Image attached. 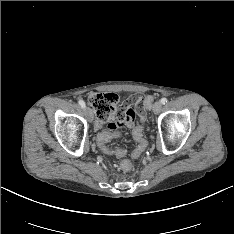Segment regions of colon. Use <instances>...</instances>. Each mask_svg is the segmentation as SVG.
Instances as JSON below:
<instances>
[{"instance_id":"obj_1","label":"colon","mask_w":234,"mask_h":234,"mask_svg":"<svg viewBox=\"0 0 234 234\" xmlns=\"http://www.w3.org/2000/svg\"><path fill=\"white\" fill-rule=\"evenodd\" d=\"M87 100L93 107L98 118L96 128L99 130L97 137L99 147L108 155L124 157L127 154L126 150L120 147H108V143L113 139L122 138L123 142H126L129 139V135L122 131L121 126L127 121V115L121 108L117 107L118 97L114 93H91L88 95ZM154 101V95L144 96V106H142V109L144 110L142 115L144 121L139 123V126L134 128L131 134L132 139L138 142L137 146L134 147L130 153V156L133 159L140 158L146 147V143L143 141L142 137V128L146 121L145 111ZM104 124L107 125L105 131L101 130L102 125ZM132 168L133 165L129 160H125L121 164V169L125 172L130 171Z\"/></svg>"}]
</instances>
